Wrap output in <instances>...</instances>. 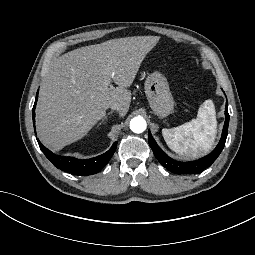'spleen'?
Masks as SVG:
<instances>
[{
	"mask_svg": "<svg viewBox=\"0 0 255 255\" xmlns=\"http://www.w3.org/2000/svg\"><path fill=\"white\" fill-rule=\"evenodd\" d=\"M216 132L214 106L211 101L204 102L198 111L197 119L178 127L162 130L168 146L177 153L193 156L206 153Z\"/></svg>",
	"mask_w": 255,
	"mask_h": 255,
	"instance_id": "1",
	"label": "spleen"
}]
</instances>
